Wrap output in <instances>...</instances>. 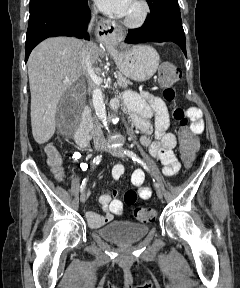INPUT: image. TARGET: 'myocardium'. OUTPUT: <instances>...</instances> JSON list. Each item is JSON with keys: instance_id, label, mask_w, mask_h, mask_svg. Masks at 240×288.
I'll return each instance as SVG.
<instances>
[{"instance_id": "obj_1", "label": "myocardium", "mask_w": 240, "mask_h": 288, "mask_svg": "<svg viewBox=\"0 0 240 288\" xmlns=\"http://www.w3.org/2000/svg\"><path fill=\"white\" fill-rule=\"evenodd\" d=\"M136 2L140 5V14L135 18L125 17L123 20V24L131 29H137L144 26L151 12L150 4L147 0H136Z\"/></svg>"}]
</instances>
